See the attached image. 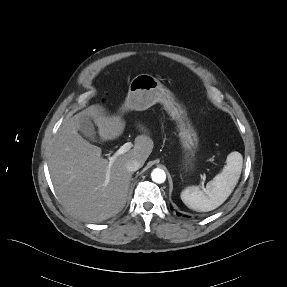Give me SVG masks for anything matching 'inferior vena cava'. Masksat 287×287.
Wrapping results in <instances>:
<instances>
[{
	"label": "inferior vena cava",
	"mask_w": 287,
	"mask_h": 287,
	"mask_svg": "<svg viewBox=\"0 0 287 287\" xmlns=\"http://www.w3.org/2000/svg\"><path fill=\"white\" fill-rule=\"evenodd\" d=\"M125 167L127 171L129 172H134L137 171L139 168L142 167L141 163L138 162L137 160H129L126 164Z\"/></svg>",
	"instance_id": "1"
}]
</instances>
